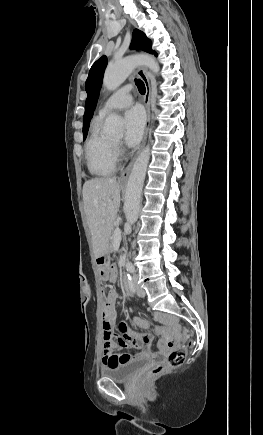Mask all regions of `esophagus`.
I'll return each mask as SVG.
<instances>
[{
    "label": "esophagus",
    "instance_id": "34e87169",
    "mask_svg": "<svg viewBox=\"0 0 263 435\" xmlns=\"http://www.w3.org/2000/svg\"><path fill=\"white\" fill-rule=\"evenodd\" d=\"M136 74L143 81V83L145 85V88H146V92H145V95H144V105H145L146 112H147V122H146L144 139H143V142L141 144V147L139 148L138 152L136 153L134 158L131 160V162L128 164L126 169L121 174L120 180H126L129 177V174H130L131 169L133 167L134 161H135L136 157L138 156V154L140 153V151L142 150V148H143V146H144V144L146 142L147 134H148V129H149L150 109H151V83H150V79H149V76H148L147 69L144 66L138 67L137 70H136Z\"/></svg>",
    "mask_w": 263,
    "mask_h": 435
}]
</instances>
